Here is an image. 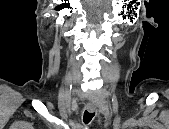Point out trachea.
I'll return each instance as SVG.
<instances>
[{"mask_svg": "<svg viewBox=\"0 0 169 129\" xmlns=\"http://www.w3.org/2000/svg\"><path fill=\"white\" fill-rule=\"evenodd\" d=\"M95 113L89 112L85 110L84 115H83V121L85 124H88L91 122L92 118L94 117Z\"/></svg>", "mask_w": 169, "mask_h": 129, "instance_id": "trachea-1", "label": "trachea"}]
</instances>
